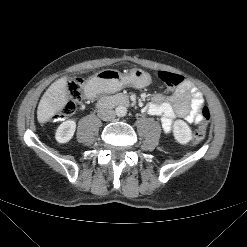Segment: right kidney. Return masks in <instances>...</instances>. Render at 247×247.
<instances>
[{"label":"right kidney","mask_w":247,"mask_h":247,"mask_svg":"<svg viewBox=\"0 0 247 247\" xmlns=\"http://www.w3.org/2000/svg\"><path fill=\"white\" fill-rule=\"evenodd\" d=\"M76 129V122L67 120L59 125L56 130L55 138L58 143H67L74 135Z\"/></svg>","instance_id":"1"}]
</instances>
